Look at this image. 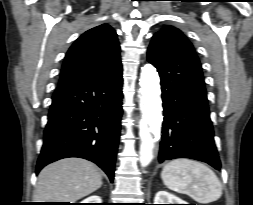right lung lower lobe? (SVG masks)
I'll return each mask as SVG.
<instances>
[{"mask_svg": "<svg viewBox=\"0 0 253 205\" xmlns=\"http://www.w3.org/2000/svg\"><path fill=\"white\" fill-rule=\"evenodd\" d=\"M122 66L58 87L52 97L36 173L66 157H80L114 179L122 116Z\"/></svg>", "mask_w": 253, "mask_h": 205, "instance_id": "1", "label": "right lung lower lobe"}]
</instances>
